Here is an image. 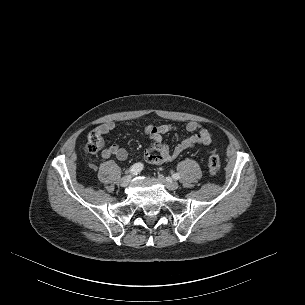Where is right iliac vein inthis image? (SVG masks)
I'll return each mask as SVG.
<instances>
[{
	"label": "right iliac vein",
	"instance_id": "63e3f726",
	"mask_svg": "<svg viewBox=\"0 0 305 305\" xmlns=\"http://www.w3.org/2000/svg\"><path fill=\"white\" fill-rule=\"evenodd\" d=\"M130 180H131V175L124 176L123 178H121V180L119 182L120 186L126 187L129 184Z\"/></svg>",
	"mask_w": 305,
	"mask_h": 305
}]
</instances>
